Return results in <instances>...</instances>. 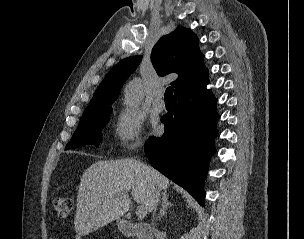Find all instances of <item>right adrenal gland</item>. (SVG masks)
Instances as JSON below:
<instances>
[{
  "instance_id": "1",
  "label": "right adrenal gland",
  "mask_w": 304,
  "mask_h": 239,
  "mask_svg": "<svg viewBox=\"0 0 304 239\" xmlns=\"http://www.w3.org/2000/svg\"><path fill=\"white\" fill-rule=\"evenodd\" d=\"M173 204L168 201V195L167 192H163L162 197V208L160 209V212L157 216V220H161V218L166 214L167 208L171 207Z\"/></svg>"
}]
</instances>
